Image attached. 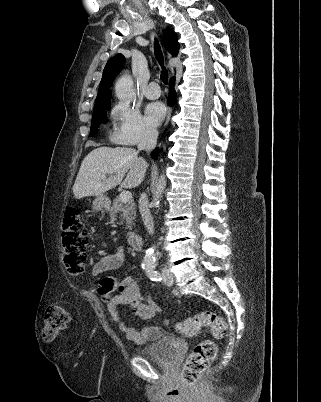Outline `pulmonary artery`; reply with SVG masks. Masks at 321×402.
I'll use <instances>...</instances> for the list:
<instances>
[{
    "label": "pulmonary artery",
    "instance_id": "1",
    "mask_svg": "<svg viewBox=\"0 0 321 402\" xmlns=\"http://www.w3.org/2000/svg\"><path fill=\"white\" fill-rule=\"evenodd\" d=\"M161 91L157 82L152 81L148 84L145 90V96L148 99H157L160 97Z\"/></svg>",
    "mask_w": 321,
    "mask_h": 402
}]
</instances>
